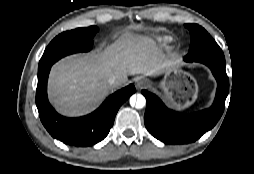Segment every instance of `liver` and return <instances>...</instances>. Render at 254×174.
<instances>
[{
	"instance_id": "1",
	"label": "liver",
	"mask_w": 254,
	"mask_h": 174,
	"mask_svg": "<svg viewBox=\"0 0 254 174\" xmlns=\"http://www.w3.org/2000/svg\"><path fill=\"white\" fill-rule=\"evenodd\" d=\"M164 55L156 41L145 35L125 33L104 51L71 55L53 65L48 96L65 116L91 112L110 92L109 78L116 76L123 86L128 75L151 76L163 64Z\"/></svg>"
}]
</instances>
